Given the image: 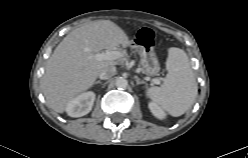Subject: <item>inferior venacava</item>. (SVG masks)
Segmentation results:
<instances>
[{
	"mask_svg": "<svg viewBox=\"0 0 248 158\" xmlns=\"http://www.w3.org/2000/svg\"><path fill=\"white\" fill-rule=\"evenodd\" d=\"M115 73H116V67L108 66L100 72L99 78L102 80H107V79H110L112 76H114Z\"/></svg>",
	"mask_w": 248,
	"mask_h": 158,
	"instance_id": "inferior-vena-cava-1",
	"label": "inferior vena cava"
}]
</instances>
